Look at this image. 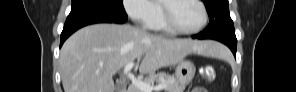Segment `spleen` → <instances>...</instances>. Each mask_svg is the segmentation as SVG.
Listing matches in <instances>:
<instances>
[{"label":"spleen","instance_id":"obj_1","mask_svg":"<svg viewBox=\"0 0 296 92\" xmlns=\"http://www.w3.org/2000/svg\"><path fill=\"white\" fill-rule=\"evenodd\" d=\"M214 56L215 57H218V58H222V59H228V58H230V55L226 52L225 47H223V48L219 47L217 49V53Z\"/></svg>","mask_w":296,"mask_h":92}]
</instances>
